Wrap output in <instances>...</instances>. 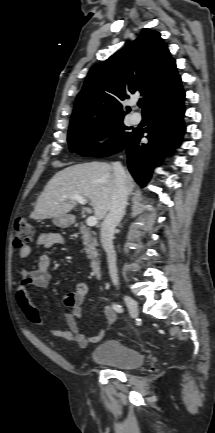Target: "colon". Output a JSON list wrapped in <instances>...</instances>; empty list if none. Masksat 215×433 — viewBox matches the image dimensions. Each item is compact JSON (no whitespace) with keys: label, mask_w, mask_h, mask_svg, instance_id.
Wrapping results in <instances>:
<instances>
[{"label":"colon","mask_w":215,"mask_h":433,"mask_svg":"<svg viewBox=\"0 0 215 433\" xmlns=\"http://www.w3.org/2000/svg\"><path fill=\"white\" fill-rule=\"evenodd\" d=\"M14 246L22 248L25 244L31 242L34 229L31 221L26 216H19L14 222Z\"/></svg>","instance_id":"1"}]
</instances>
